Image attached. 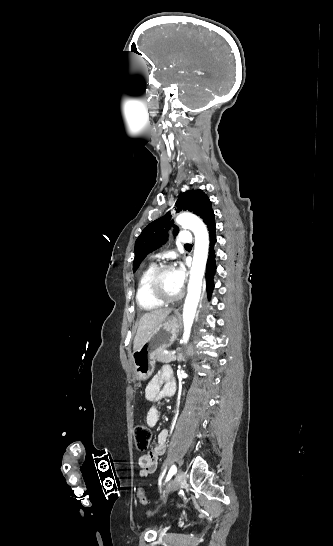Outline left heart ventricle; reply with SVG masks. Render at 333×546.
<instances>
[{"label":"left heart ventricle","mask_w":333,"mask_h":546,"mask_svg":"<svg viewBox=\"0 0 333 546\" xmlns=\"http://www.w3.org/2000/svg\"><path fill=\"white\" fill-rule=\"evenodd\" d=\"M160 284H161L162 291L164 292L166 296H170V297L176 296L181 291V289L178 288L175 282L173 270H168L162 275Z\"/></svg>","instance_id":"left-heart-ventricle-1"}]
</instances>
